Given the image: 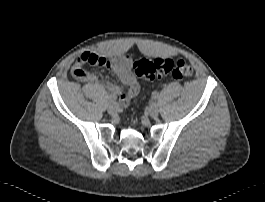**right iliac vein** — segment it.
I'll use <instances>...</instances> for the list:
<instances>
[{"label": "right iliac vein", "mask_w": 265, "mask_h": 202, "mask_svg": "<svg viewBox=\"0 0 265 202\" xmlns=\"http://www.w3.org/2000/svg\"><path fill=\"white\" fill-rule=\"evenodd\" d=\"M118 108H119V106L116 102H111L107 106V111L109 114H115V113H117Z\"/></svg>", "instance_id": "63e3f726"}]
</instances>
